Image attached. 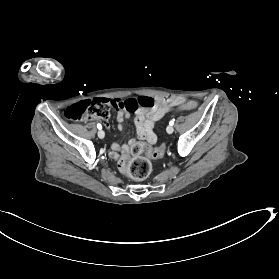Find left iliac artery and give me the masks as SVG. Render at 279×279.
<instances>
[{"label": "left iliac artery", "mask_w": 279, "mask_h": 279, "mask_svg": "<svg viewBox=\"0 0 279 279\" xmlns=\"http://www.w3.org/2000/svg\"><path fill=\"white\" fill-rule=\"evenodd\" d=\"M170 125H174V119L169 122Z\"/></svg>", "instance_id": "obj_1"}]
</instances>
